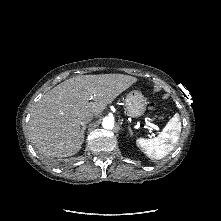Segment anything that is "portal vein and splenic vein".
I'll list each match as a JSON object with an SVG mask.
<instances>
[{
    "instance_id": "portal-vein-and-splenic-vein-1",
    "label": "portal vein and splenic vein",
    "mask_w": 221,
    "mask_h": 221,
    "mask_svg": "<svg viewBox=\"0 0 221 221\" xmlns=\"http://www.w3.org/2000/svg\"><path fill=\"white\" fill-rule=\"evenodd\" d=\"M148 126H150L153 129H158V127L152 123H147Z\"/></svg>"
}]
</instances>
